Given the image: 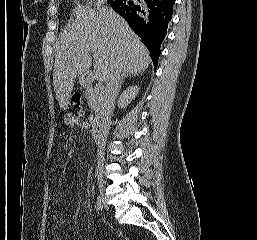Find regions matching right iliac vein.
<instances>
[{
	"mask_svg": "<svg viewBox=\"0 0 257 240\" xmlns=\"http://www.w3.org/2000/svg\"><path fill=\"white\" fill-rule=\"evenodd\" d=\"M100 192H101V194H102V202H103V204L106 206V201H105V199H104V197H103V186H102V185L100 186Z\"/></svg>",
	"mask_w": 257,
	"mask_h": 240,
	"instance_id": "obj_1",
	"label": "right iliac vein"
}]
</instances>
